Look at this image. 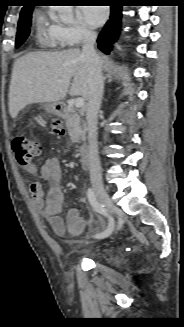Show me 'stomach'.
Masks as SVG:
<instances>
[{
	"label": "stomach",
	"mask_w": 184,
	"mask_h": 327,
	"mask_svg": "<svg viewBox=\"0 0 184 327\" xmlns=\"http://www.w3.org/2000/svg\"><path fill=\"white\" fill-rule=\"evenodd\" d=\"M44 108L50 114H59L58 103H47L44 105Z\"/></svg>",
	"instance_id": "stomach-1"
}]
</instances>
